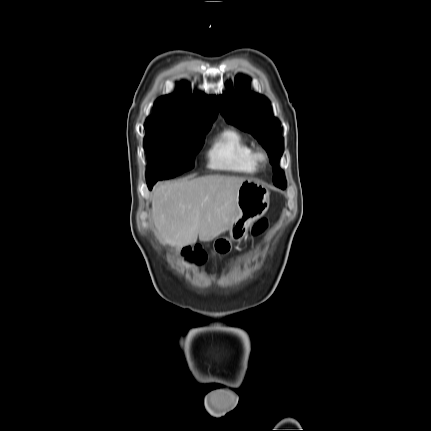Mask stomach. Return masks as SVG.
<instances>
[{
  "instance_id": "1",
  "label": "stomach",
  "mask_w": 431,
  "mask_h": 431,
  "mask_svg": "<svg viewBox=\"0 0 431 431\" xmlns=\"http://www.w3.org/2000/svg\"><path fill=\"white\" fill-rule=\"evenodd\" d=\"M269 190L262 184L247 180L238 189L236 214L228 228L230 237L216 238L213 248L216 253L227 254L233 241H241L249 226L262 217L269 208Z\"/></svg>"
}]
</instances>
